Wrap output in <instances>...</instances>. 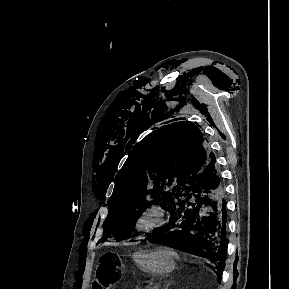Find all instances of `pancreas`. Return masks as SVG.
<instances>
[{
  "mask_svg": "<svg viewBox=\"0 0 289 289\" xmlns=\"http://www.w3.org/2000/svg\"><path fill=\"white\" fill-rule=\"evenodd\" d=\"M146 289H158L155 286H147Z\"/></svg>",
  "mask_w": 289,
  "mask_h": 289,
  "instance_id": "1",
  "label": "pancreas"
}]
</instances>
